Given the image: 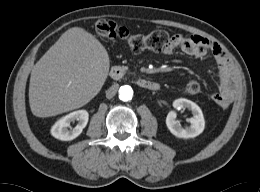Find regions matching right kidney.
Segmentation results:
<instances>
[{
  "label": "right kidney",
  "instance_id": "right-kidney-1",
  "mask_svg": "<svg viewBox=\"0 0 260 192\" xmlns=\"http://www.w3.org/2000/svg\"><path fill=\"white\" fill-rule=\"evenodd\" d=\"M89 114L86 110H77L60 118L52 127L51 135L62 141H70L78 137L86 127ZM78 121V124L68 130L71 122Z\"/></svg>",
  "mask_w": 260,
  "mask_h": 192
}]
</instances>
